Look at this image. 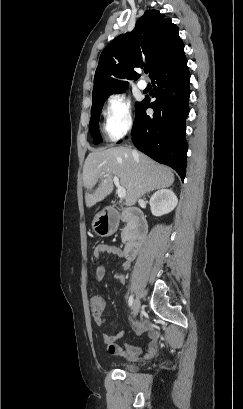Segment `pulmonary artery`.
Here are the masks:
<instances>
[{"label":"pulmonary artery","instance_id":"1","mask_svg":"<svg viewBox=\"0 0 243 409\" xmlns=\"http://www.w3.org/2000/svg\"><path fill=\"white\" fill-rule=\"evenodd\" d=\"M138 87L142 90L147 88V82L144 79H140L137 83Z\"/></svg>","mask_w":243,"mask_h":409}]
</instances>
